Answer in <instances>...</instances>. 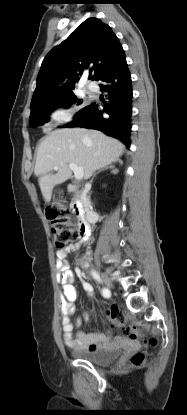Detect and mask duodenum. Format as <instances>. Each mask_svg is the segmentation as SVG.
Returning <instances> with one entry per match:
<instances>
[{
	"instance_id": "1",
	"label": "duodenum",
	"mask_w": 187,
	"mask_h": 415,
	"mask_svg": "<svg viewBox=\"0 0 187 415\" xmlns=\"http://www.w3.org/2000/svg\"><path fill=\"white\" fill-rule=\"evenodd\" d=\"M71 191L75 194L71 202V208L80 219L79 227L82 239H87L90 235L91 223L95 221L96 214L85 205L84 197L87 195L85 188L79 190L77 187H72Z\"/></svg>"
}]
</instances>
